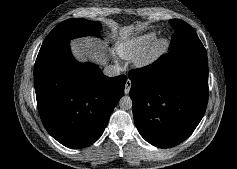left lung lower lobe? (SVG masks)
Here are the masks:
<instances>
[{
  "instance_id": "1",
  "label": "left lung lower lobe",
  "mask_w": 237,
  "mask_h": 169,
  "mask_svg": "<svg viewBox=\"0 0 237 169\" xmlns=\"http://www.w3.org/2000/svg\"><path fill=\"white\" fill-rule=\"evenodd\" d=\"M133 117L141 136L160 148L173 147L195 130L208 101L206 54L171 60L166 55L129 72Z\"/></svg>"
}]
</instances>
